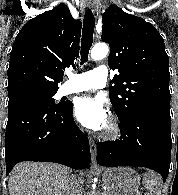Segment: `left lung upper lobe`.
Wrapping results in <instances>:
<instances>
[{"label":"left lung upper lobe","instance_id":"1","mask_svg":"<svg viewBox=\"0 0 178 195\" xmlns=\"http://www.w3.org/2000/svg\"><path fill=\"white\" fill-rule=\"evenodd\" d=\"M102 23V40L110 46L108 64L119 72L109 96L119 120L137 114L171 119L169 58L159 32L116 5L106 10Z\"/></svg>","mask_w":178,"mask_h":195}]
</instances>
